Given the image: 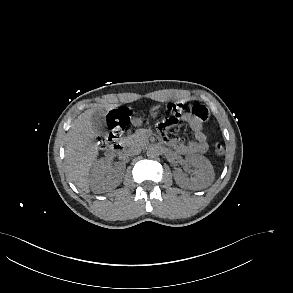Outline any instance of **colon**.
<instances>
[{
  "label": "colon",
  "instance_id": "colon-1",
  "mask_svg": "<svg viewBox=\"0 0 293 293\" xmlns=\"http://www.w3.org/2000/svg\"><path fill=\"white\" fill-rule=\"evenodd\" d=\"M167 117L158 125V131L162 139H169L168 131L174 127L185 113H190L201 121H205L209 117L208 109L205 105L197 103L189 105L185 102H170L166 105ZM128 113L124 109L114 110L108 117V131L100 140L103 148L110 147L118 143L123 128L125 127ZM214 152L220 156L224 153L221 143L214 144Z\"/></svg>",
  "mask_w": 293,
  "mask_h": 293
}]
</instances>
